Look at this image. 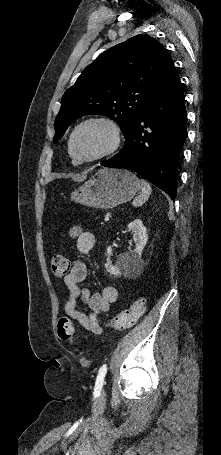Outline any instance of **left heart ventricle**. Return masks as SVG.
Here are the masks:
<instances>
[{"instance_id":"left-heart-ventricle-1","label":"left heart ventricle","mask_w":221,"mask_h":455,"mask_svg":"<svg viewBox=\"0 0 221 455\" xmlns=\"http://www.w3.org/2000/svg\"><path fill=\"white\" fill-rule=\"evenodd\" d=\"M109 142V133L105 128L89 125L78 133L74 143V150L78 157L87 158L104 151Z\"/></svg>"}]
</instances>
